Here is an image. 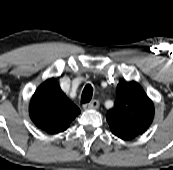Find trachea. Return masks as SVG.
Segmentation results:
<instances>
[{"label":"trachea","mask_w":173,"mask_h":170,"mask_svg":"<svg viewBox=\"0 0 173 170\" xmlns=\"http://www.w3.org/2000/svg\"><path fill=\"white\" fill-rule=\"evenodd\" d=\"M93 96V88L90 84H87L82 92L81 101L82 103H89Z\"/></svg>","instance_id":"1"}]
</instances>
